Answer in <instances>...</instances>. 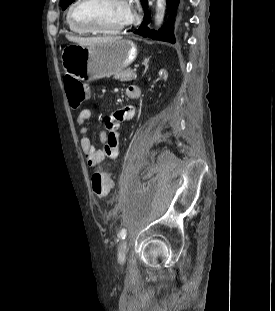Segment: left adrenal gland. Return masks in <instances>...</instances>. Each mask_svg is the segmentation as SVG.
Masks as SVG:
<instances>
[{"label":"left adrenal gland","mask_w":275,"mask_h":311,"mask_svg":"<svg viewBox=\"0 0 275 311\" xmlns=\"http://www.w3.org/2000/svg\"><path fill=\"white\" fill-rule=\"evenodd\" d=\"M149 59H150V57L144 59L143 65H145L146 68H148Z\"/></svg>","instance_id":"1"}]
</instances>
